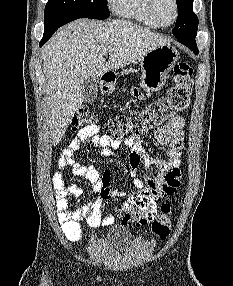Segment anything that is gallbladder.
I'll list each match as a JSON object with an SVG mask.
<instances>
[{"instance_id": "bac80fb5", "label": "gallbladder", "mask_w": 233, "mask_h": 286, "mask_svg": "<svg viewBox=\"0 0 233 286\" xmlns=\"http://www.w3.org/2000/svg\"><path fill=\"white\" fill-rule=\"evenodd\" d=\"M99 79L89 76L82 85L83 101L86 104H92L97 98Z\"/></svg>"}]
</instances>
